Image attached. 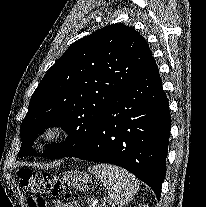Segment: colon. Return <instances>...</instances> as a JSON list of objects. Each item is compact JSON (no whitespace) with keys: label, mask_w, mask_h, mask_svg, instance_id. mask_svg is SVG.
<instances>
[{"label":"colon","mask_w":206,"mask_h":207,"mask_svg":"<svg viewBox=\"0 0 206 207\" xmlns=\"http://www.w3.org/2000/svg\"><path fill=\"white\" fill-rule=\"evenodd\" d=\"M17 177L22 190L28 195L29 207H47L46 196L70 198L64 184L52 173L19 168Z\"/></svg>","instance_id":"colon-1"}]
</instances>
